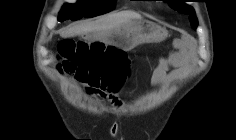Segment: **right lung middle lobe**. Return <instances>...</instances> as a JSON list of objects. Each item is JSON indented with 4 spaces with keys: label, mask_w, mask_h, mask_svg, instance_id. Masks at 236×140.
Here are the masks:
<instances>
[{
    "label": "right lung middle lobe",
    "mask_w": 236,
    "mask_h": 140,
    "mask_svg": "<svg viewBox=\"0 0 236 140\" xmlns=\"http://www.w3.org/2000/svg\"><path fill=\"white\" fill-rule=\"evenodd\" d=\"M115 0H79L78 4H65L59 13V21L77 20L84 17H95L111 11ZM84 9H86L84 11Z\"/></svg>",
    "instance_id": "dd1d6c3e"
}]
</instances>
